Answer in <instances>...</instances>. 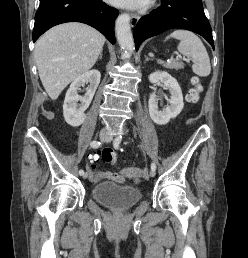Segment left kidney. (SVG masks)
Listing matches in <instances>:
<instances>
[{
  "label": "left kidney",
  "instance_id": "obj_1",
  "mask_svg": "<svg viewBox=\"0 0 248 258\" xmlns=\"http://www.w3.org/2000/svg\"><path fill=\"white\" fill-rule=\"evenodd\" d=\"M150 83L162 82L164 87L170 91V105L159 110L158 99L155 93L150 94L149 114L153 122L158 125H165L171 119L177 117L184 107L183 95L177 80L165 71H156L148 77Z\"/></svg>",
  "mask_w": 248,
  "mask_h": 258
}]
</instances>
